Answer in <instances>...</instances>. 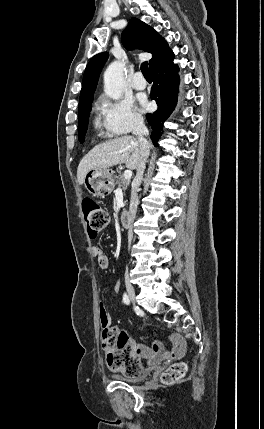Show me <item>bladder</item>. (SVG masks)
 <instances>
[{"label": "bladder", "instance_id": "31cf9c89", "mask_svg": "<svg viewBox=\"0 0 264 429\" xmlns=\"http://www.w3.org/2000/svg\"><path fill=\"white\" fill-rule=\"evenodd\" d=\"M151 374V370L147 369L135 376H114L116 380L127 382V383H136L145 380Z\"/></svg>", "mask_w": 264, "mask_h": 429}]
</instances>
